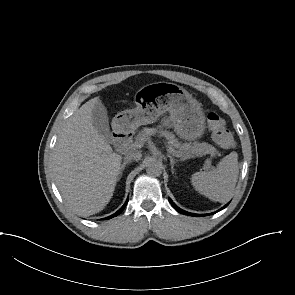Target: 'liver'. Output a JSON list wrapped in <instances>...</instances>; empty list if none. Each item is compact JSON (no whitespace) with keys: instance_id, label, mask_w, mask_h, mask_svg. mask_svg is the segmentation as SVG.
Instances as JSON below:
<instances>
[{"instance_id":"1","label":"liver","mask_w":295,"mask_h":295,"mask_svg":"<svg viewBox=\"0 0 295 295\" xmlns=\"http://www.w3.org/2000/svg\"><path fill=\"white\" fill-rule=\"evenodd\" d=\"M95 97L68 118L52 154L55 183L78 215L102 211L113 196L122 157L98 133L92 123Z\"/></svg>"}]
</instances>
